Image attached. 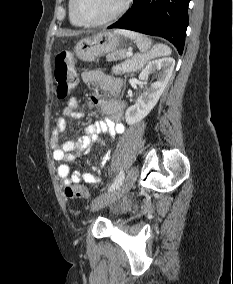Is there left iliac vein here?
I'll list each match as a JSON object with an SVG mask.
<instances>
[{
    "instance_id": "left-iliac-vein-1",
    "label": "left iliac vein",
    "mask_w": 233,
    "mask_h": 284,
    "mask_svg": "<svg viewBox=\"0 0 233 284\" xmlns=\"http://www.w3.org/2000/svg\"><path fill=\"white\" fill-rule=\"evenodd\" d=\"M137 175H138L137 168L132 167L128 172L126 178L123 180L122 184L111 193L102 195L96 200H94V202L91 205V209L93 211H96L119 200L132 188L134 182L136 181Z\"/></svg>"
}]
</instances>
